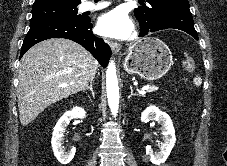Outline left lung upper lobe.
<instances>
[{
    "label": "left lung upper lobe",
    "instance_id": "1",
    "mask_svg": "<svg viewBox=\"0 0 227 166\" xmlns=\"http://www.w3.org/2000/svg\"><path fill=\"white\" fill-rule=\"evenodd\" d=\"M150 6H140L134 10L140 25L152 26L161 17L176 12H190L188 0H147Z\"/></svg>",
    "mask_w": 227,
    "mask_h": 166
}]
</instances>
